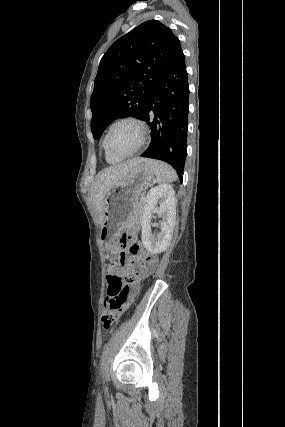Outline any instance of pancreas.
Returning a JSON list of instances; mask_svg holds the SVG:
<instances>
[{
	"label": "pancreas",
	"mask_w": 285,
	"mask_h": 427,
	"mask_svg": "<svg viewBox=\"0 0 285 427\" xmlns=\"http://www.w3.org/2000/svg\"><path fill=\"white\" fill-rule=\"evenodd\" d=\"M143 205H144V202H141L139 205H138V202H137V206H136V214H135V216H137L138 214L140 215V214H142V211H143Z\"/></svg>",
	"instance_id": "cf45deb5"
}]
</instances>
